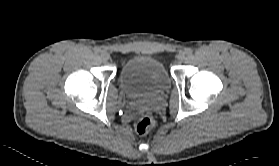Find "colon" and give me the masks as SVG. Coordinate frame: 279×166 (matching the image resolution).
<instances>
[{"instance_id":"5ec220e1","label":"colon","mask_w":279,"mask_h":166,"mask_svg":"<svg viewBox=\"0 0 279 166\" xmlns=\"http://www.w3.org/2000/svg\"><path fill=\"white\" fill-rule=\"evenodd\" d=\"M155 126V118L152 114L146 113L136 120V129L139 133H147Z\"/></svg>"}]
</instances>
